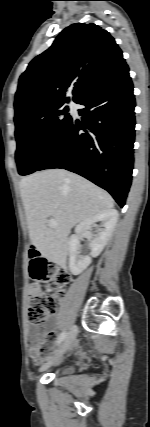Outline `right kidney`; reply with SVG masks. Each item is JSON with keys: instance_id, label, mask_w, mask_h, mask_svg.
Wrapping results in <instances>:
<instances>
[{"instance_id": "ca27d5eb", "label": "right kidney", "mask_w": 150, "mask_h": 427, "mask_svg": "<svg viewBox=\"0 0 150 427\" xmlns=\"http://www.w3.org/2000/svg\"><path fill=\"white\" fill-rule=\"evenodd\" d=\"M118 220V212L115 209L106 210L98 215L88 218L75 228L73 234L68 242L69 246V269L73 275L82 273L92 261V257H97L105 245L107 244ZM100 222L96 235L91 233L92 226ZM81 235L86 236L91 242V252L89 255H80V241Z\"/></svg>"}]
</instances>
